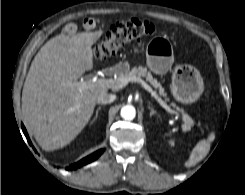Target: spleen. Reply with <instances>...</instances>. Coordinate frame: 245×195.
<instances>
[{
	"mask_svg": "<svg viewBox=\"0 0 245 195\" xmlns=\"http://www.w3.org/2000/svg\"><path fill=\"white\" fill-rule=\"evenodd\" d=\"M170 143L172 145L174 144L173 141H171ZM208 150H209V144L207 142L204 141V142L199 143L195 147V149H194V151L190 157V160L185 165L187 167L195 165L199 161L200 157L202 155H205L208 152Z\"/></svg>",
	"mask_w": 245,
	"mask_h": 195,
	"instance_id": "3e777b00",
	"label": "spleen"
}]
</instances>
